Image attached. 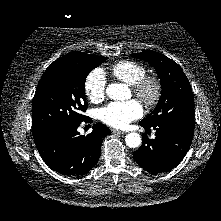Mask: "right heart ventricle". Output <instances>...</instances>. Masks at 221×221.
I'll return each mask as SVG.
<instances>
[{
  "mask_svg": "<svg viewBox=\"0 0 221 221\" xmlns=\"http://www.w3.org/2000/svg\"><path fill=\"white\" fill-rule=\"evenodd\" d=\"M110 70L114 77L128 85H133L147 73L144 65L130 60L119 61Z\"/></svg>",
  "mask_w": 221,
  "mask_h": 221,
  "instance_id": "obj_1",
  "label": "right heart ventricle"
}]
</instances>
